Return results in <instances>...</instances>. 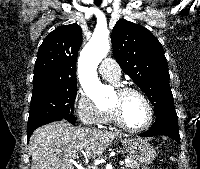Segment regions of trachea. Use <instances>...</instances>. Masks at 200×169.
<instances>
[{"instance_id": "obj_1", "label": "trachea", "mask_w": 200, "mask_h": 169, "mask_svg": "<svg viewBox=\"0 0 200 169\" xmlns=\"http://www.w3.org/2000/svg\"><path fill=\"white\" fill-rule=\"evenodd\" d=\"M94 3L96 6H100L102 3V0H94Z\"/></svg>"}]
</instances>
